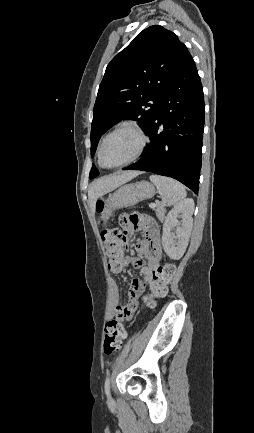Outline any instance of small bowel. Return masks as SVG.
Here are the masks:
<instances>
[{"instance_id":"1","label":"small bowel","mask_w":254,"mask_h":433,"mask_svg":"<svg viewBox=\"0 0 254 433\" xmlns=\"http://www.w3.org/2000/svg\"><path fill=\"white\" fill-rule=\"evenodd\" d=\"M120 219L123 226L129 231L142 230L145 238L136 244L137 257L123 256L118 264L112 265V271L119 273L128 266L139 269L143 276V280L133 279L130 283V290L128 293L127 302L125 305L119 303V287L115 281L110 284V302L106 310L107 319L120 318L121 320H128L131 313L136 309L138 301L145 291L146 285H149L151 290L155 287V271L160 266L162 257V248L160 242L159 228L155 223L148 222L144 225L133 226L128 223L126 215H122ZM143 259L146 260L144 263ZM165 295L167 287H165ZM164 295V296H165Z\"/></svg>"}]
</instances>
